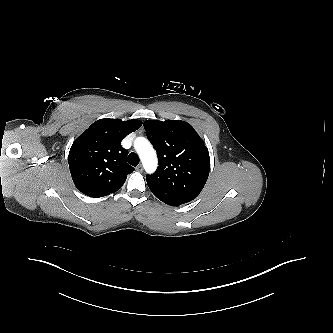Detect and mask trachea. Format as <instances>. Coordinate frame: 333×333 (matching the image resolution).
<instances>
[{"instance_id":"trachea-1","label":"trachea","mask_w":333,"mask_h":333,"mask_svg":"<svg viewBox=\"0 0 333 333\" xmlns=\"http://www.w3.org/2000/svg\"><path fill=\"white\" fill-rule=\"evenodd\" d=\"M128 163L132 166H137L139 164L138 155L134 152H131L128 156Z\"/></svg>"}]
</instances>
